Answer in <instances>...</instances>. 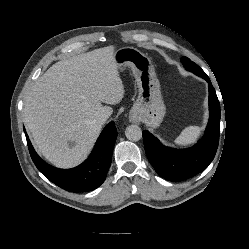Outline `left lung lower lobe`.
I'll return each mask as SVG.
<instances>
[{
  "label": "left lung lower lobe",
  "instance_id": "left-lung-lower-lobe-1",
  "mask_svg": "<svg viewBox=\"0 0 249 249\" xmlns=\"http://www.w3.org/2000/svg\"><path fill=\"white\" fill-rule=\"evenodd\" d=\"M193 73L209 84L210 117L203 138L193 147L177 150L165 147L151 133L143 131L148 160L161 177L173 182L188 179L205 170L214 159L219 143L220 104L215 89L203 70Z\"/></svg>",
  "mask_w": 249,
  "mask_h": 249
}]
</instances>
